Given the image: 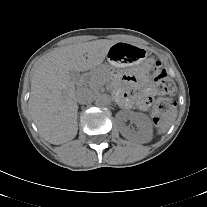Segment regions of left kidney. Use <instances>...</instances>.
<instances>
[{
    "label": "left kidney",
    "mask_w": 207,
    "mask_h": 207,
    "mask_svg": "<svg viewBox=\"0 0 207 207\" xmlns=\"http://www.w3.org/2000/svg\"><path fill=\"white\" fill-rule=\"evenodd\" d=\"M117 119L130 120L138 127V132L136 136L142 139L144 142H148L152 139L153 129L152 122L148 116L142 113L132 112V111H119L116 114ZM122 122L120 132L125 138H130L133 136L132 132L124 125Z\"/></svg>",
    "instance_id": "1"
}]
</instances>
